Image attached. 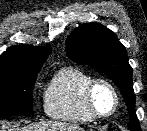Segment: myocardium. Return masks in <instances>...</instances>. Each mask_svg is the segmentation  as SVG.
<instances>
[{"mask_svg":"<svg viewBox=\"0 0 147 131\" xmlns=\"http://www.w3.org/2000/svg\"><path fill=\"white\" fill-rule=\"evenodd\" d=\"M98 84H104L108 86L114 95V99H115L114 107L109 113H106V114L99 113L94 105L93 93H94L95 87ZM84 102H85V106L88 113L93 119L103 120V119L110 118L116 113V111L118 110L120 106V95H119L118 89L110 80L106 78H102V77L92 78L85 87Z\"/></svg>","mask_w":147,"mask_h":131,"instance_id":"1","label":"myocardium"}]
</instances>
